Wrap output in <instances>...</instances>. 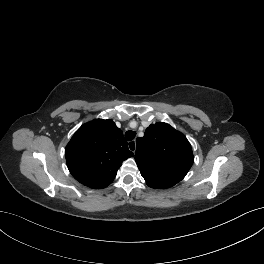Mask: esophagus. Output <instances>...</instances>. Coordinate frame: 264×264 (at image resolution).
<instances>
[{
  "label": "esophagus",
  "mask_w": 264,
  "mask_h": 264,
  "mask_svg": "<svg viewBox=\"0 0 264 264\" xmlns=\"http://www.w3.org/2000/svg\"><path fill=\"white\" fill-rule=\"evenodd\" d=\"M128 148L130 151L135 152L136 151V141L135 140L129 141Z\"/></svg>",
  "instance_id": "1"
}]
</instances>
